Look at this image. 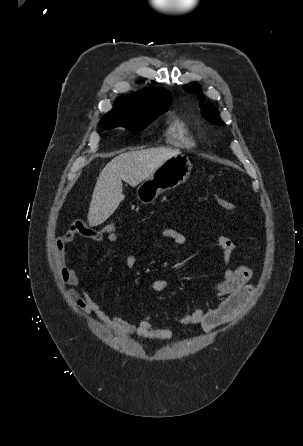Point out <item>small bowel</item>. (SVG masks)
<instances>
[{
  "label": "small bowel",
  "instance_id": "obj_1",
  "mask_svg": "<svg viewBox=\"0 0 303 446\" xmlns=\"http://www.w3.org/2000/svg\"><path fill=\"white\" fill-rule=\"evenodd\" d=\"M159 234L180 247L186 246L189 241L187 235L170 227L161 229ZM77 236L95 242L107 240L113 244H117L119 238L117 235L105 236L100 230L86 227L80 220L72 222L68 229L56 238L55 258L61 279L64 284L72 287L68 290V294L81 312L95 315L121 335H134L158 341L169 340L172 336L171 329L155 325L152 321L153 315H146L140 318L137 323H132L107 310L100 302L93 299L69 263L70 245ZM217 241L222 251L224 266L222 279L212 285L217 303L214 307H200L190 314L176 315L175 322L181 327L200 325L205 332L214 331L230 321L253 293V287L249 284L252 277L251 269L244 265L238 267L231 265V259L237 247L235 242L225 235H220ZM124 262L129 269L134 268L137 264L136 258L130 253L124 255ZM171 285V281L167 279H157L152 282L151 289L155 293H160Z\"/></svg>",
  "mask_w": 303,
  "mask_h": 446
}]
</instances>
